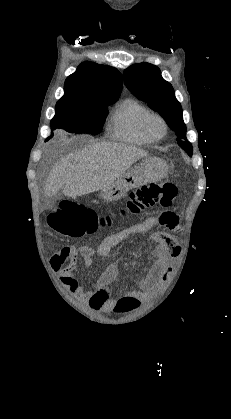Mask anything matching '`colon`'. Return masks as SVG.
<instances>
[{
    "instance_id": "1",
    "label": "colon",
    "mask_w": 231,
    "mask_h": 419,
    "mask_svg": "<svg viewBox=\"0 0 231 419\" xmlns=\"http://www.w3.org/2000/svg\"><path fill=\"white\" fill-rule=\"evenodd\" d=\"M177 196V187L172 182L150 183L131 192L125 206L119 209L118 215L106 219L99 218L95 211L73 202H63L49 216V224L53 230L61 234L79 235L88 228L96 229L103 223L110 224L118 217L126 218L138 215L141 212L160 205L171 207ZM163 226V225H162ZM54 259L62 263L61 253L56 254ZM139 301L132 296L121 297L115 305V312L124 313L136 309Z\"/></svg>"
}]
</instances>
